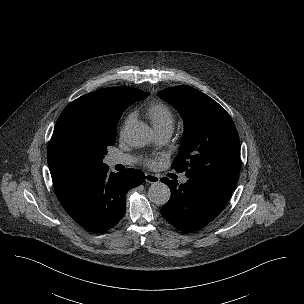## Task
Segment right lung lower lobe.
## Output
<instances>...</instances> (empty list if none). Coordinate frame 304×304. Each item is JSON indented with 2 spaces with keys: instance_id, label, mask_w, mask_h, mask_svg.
<instances>
[{
  "instance_id": "1",
  "label": "right lung lower lobe",
  "mask_w": 304,
  "mask_h": 304,
  "mask_svg": "<svg viewBox=\"0 0 304 304\" xmlns=\"http://www.w3.org/2000/svg\"><path fill=\"white\" fill-rule=\"evenodd\" d=\"M145 180L144 174L129 168L113 173L107 165L97 169L72 194L61 200L66 212L82 227L97 233L115 226L125 214V195Z\"/></svg>"
}]
</instances>
